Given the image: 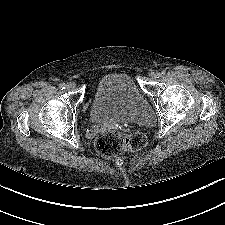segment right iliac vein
Returning a JSON list of instances; mask_svg holds the SVG:
<instances>
[{"mask_svg": "<svg viewBox=\"0 0 225 225\" xmlns=\"http://www.w3.org/2000/svg\"><path fill=\"white\" fill-rule=\"evenodd\" d=\"M74 87H75L74 83H68V84L66 85V89H67L68 91H72V90L74 89Z\"/></svg>", "mask_w": 225, "mask_h": 225, "instance_id": "obj_1", "label": "right iliac vein"}]
</instances>
